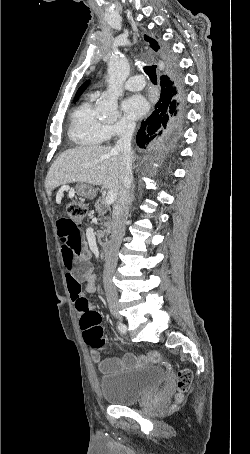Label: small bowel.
Segmentation results:
<instances>
[{"label": "small bowel", "instance_id": "small-bowel-1", "mask_svg": "<svg viewBox=\"0 0 250 454\" xmlns=\"http://www.w3.org/2000/svg\"><path fill=\"white\" fill-rule=\"evenodd\" d=\"M57 229L62 243V258L66 269L65 277L68 290L75 309L81 316L85 310L93 309L85 293H93L96 290V276L90 262V251L80 229L68 218L59 219ZM91 356L103 373H109L136 363L131 355H127L123 359H103L99 351L92 350ZM148 360L158 361L159 356L150 354Z\"/></svg>", "mask_w": 250, "mask_h": 454}]
</instances>
